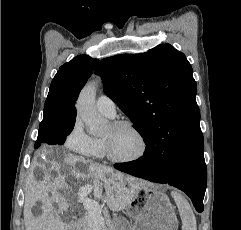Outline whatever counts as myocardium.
<instances>
[{
    "label": "myocardium",
    "mask_w": 241,
    "mask_h": 230,
    "mask_svg": "<svg viewBox=\"0 0 241 230\" xmlns=\"http://www.w3.org/2000/svg\"><path fill=\"white\" fill-rule=\"evenodd\" d=\"M111 126L113 128L127 127L131 129L138 136L141 143V149L137 155L131 158L124 159V158L116 157L111 150V146L109 142L106 139H103L105 155L111 162L117 163V164H130V163L140 161L142 158H144V156L148 151V142L143 132L133 122L128 120H118L113 122Z\"/></svg>",
    "instance_id": "f54148a6"
}]
</instances>
